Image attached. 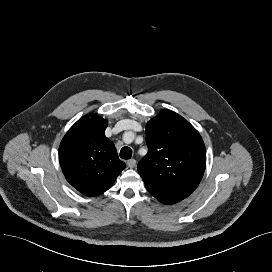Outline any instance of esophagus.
I'll list each match as a JSON object with an SVG mask.
<instances>
[{"mask_svg":"<svg viewBox=\"0 0 272 272\" xmlns=\"http://www.w3.org/2000/svg\"><path fill=\"white\" fill-rule=\"evenodd\" d=\"M127 166L129 168H134L136 166V160L135 159H130L127 161Z\"/></svg>","mask_w":272,"mask_h":272,"instance_id":"1","label":"esophagus"}]
</instances>
